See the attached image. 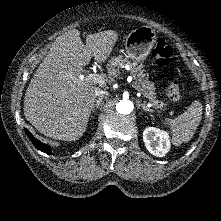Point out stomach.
Wrapping results in <instances>:
<instances>
[{
  "label": "stomach",
  "instance_id": "0dacf381",
  "mask_svg": "<svg viewBox=\"0 0 221 221\" xmlns=\"http://www.w3.org/2000/svg\"><path fill=\"white\" fill-rule=\"evenodd\" d=\"M156 32L149 26L133 30L125 40L127 56L136 63H143L150 54L155 42Z\"/></svg>",
  "mask_w": 221,
  "mask_h": 221
}]
</instances>
